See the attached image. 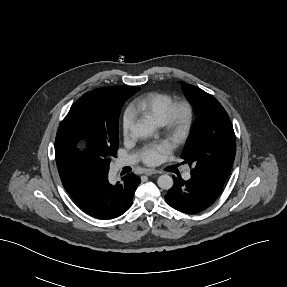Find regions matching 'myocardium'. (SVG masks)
<instances>
[{
    "mask_svg": "<svg viewBox=\"0 0 287 287\" xmlns=\"http://www.w3.org/2000/svg\"><path fill=\"white\" fill-rule=\"evenodd\" d=\"M196 119V109L189 100L174 102L162 125L166 134L175 143H182L189 136Z\"/></svg>",
    "mask_w": 287,
    "mask_h": 287,
    "instance_id": "1",
    "label": "myocardium"
}]
</instances>
